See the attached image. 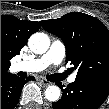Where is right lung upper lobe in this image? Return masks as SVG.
<instances>
[{"instance_id":"cb5924a9","label":"right lung upper lobe","mask_w":109,"mask_h":109,"mask_svg":"<svg viewBox=\"0 0 109 109\" xmlns=\"http://www.w3.org/2000/svg\"><path fill=\"white\" fill-rule=\"evenodd\" d=\"M39 28L36 21H24L12 15L1 16V76L9 74L11 58L20 53L28 38Z\"/></svg>"}]
</instances>
